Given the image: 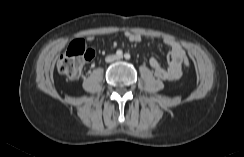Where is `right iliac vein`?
Returning a JSON list of instances; mask_svg holds the SVG:
<instances>
[{"label":"right iliac vein","instance_id":"obj_1","mask_svg":"<svg viewBox=\"0 0 244 157\" xmlns=\"http://www.w3.org/2000/svg\"><path fill=\"white\" fill-rule=\"evenodd\" d=\"M108 60H109V61H112V60H113V58H112V57H109V58H108Z\"/></svg>","mask_w":244,"mask_h":157}]
</instances>
